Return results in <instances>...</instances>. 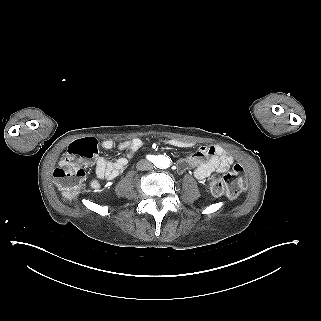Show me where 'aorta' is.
Wrapping results in <instances>:
<instances>
[{
  "label": "aorta",
  "mask_w": 321,
  "mask_h": 321,
  "mask_svg": "<svg viewBox=\"0 0 321 321\" xmlns=\"http://www.w3.org/2000/svg\"><path fill=\"white\" fill-rule=\"evenodd\" d=\"M170 165V159L167 158V157H164L163 158V161H162V167L166 168Z\"/></svg>",
  "instance_id": "1"
}]
</instances>
